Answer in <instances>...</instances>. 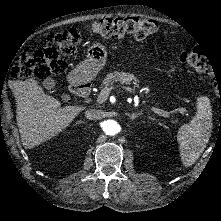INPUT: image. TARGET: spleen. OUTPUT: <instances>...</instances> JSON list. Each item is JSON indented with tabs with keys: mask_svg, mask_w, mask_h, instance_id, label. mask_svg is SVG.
<instances>
[{
	"mask_svg": "<svg viewBox=\"0 0 221 221\" xmlns=\"http://www.w3.org/2000/svg\"><path fill=\"white\" fill-rule=\"evenodd\" d=\"M212 110L210 101L199 97L194 118L179 128L177 138L181 160L186 167L196 162L209 141L212 130Z\"/></svg>",
	"mask_w": 221,
	"mask_h": 221,
	"instance_id": "3e777b00",
	"label": "spleen"
}]
</instances>
